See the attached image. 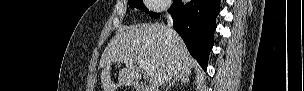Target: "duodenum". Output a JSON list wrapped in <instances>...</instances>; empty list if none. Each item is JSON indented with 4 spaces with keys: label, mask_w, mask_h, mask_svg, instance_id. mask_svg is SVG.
<instances>
[{
    "label": "duodenum",
    "mask_w": 304,
    "mask_h": 91,
    "mask_svg": "<svg viewBox=\"0 0 304 91\" xmlns=\"http://www.w3.org/2000/svg\"><path fill=\"white\" fill-rule=\"evenodd\" d=\"M135 90H140V91H151V89H148V88H144L140 85H136L135 86Z\"/></svg>",
    "instance_id": "1"
}]
</instances>
